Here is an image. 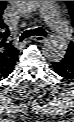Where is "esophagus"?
<instances>
[{
    "label": "esophagus",
    "mask_w": 74,
    "mask_h": 122,
    "mask_svg": "<svg viewBox=\"0 0 74 122\" xmlns=\"http://www.w3.org/2000/svg\"><path fill=\"white\" fill-rule=\"evenodd\" d=\"M34 40L36 41V42H45L46 40H47V38L46 37H44V36H35L34 37Z\"/></svg>",
    "instance_id": "1"
}]
</instances>
